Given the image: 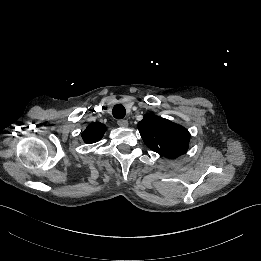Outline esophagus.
I'll return each mask as SVG.
<instances>
[{"instance_id":"1","label":"esophagus","mask_w":261,"mask_h":261,"mask_svg":"<svg viewBox=\"0 0 261 261\" xmlns=\"http://www.w3.org/2000/svg\"><path fill=\"white\" fill-rule=\"evenodd\" d=\"M117 124L120 127H128V125H129L127 120H118Z\"/></svg>"}]
</instances>
